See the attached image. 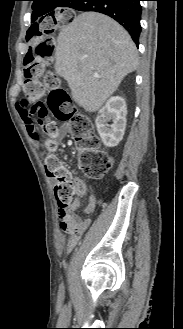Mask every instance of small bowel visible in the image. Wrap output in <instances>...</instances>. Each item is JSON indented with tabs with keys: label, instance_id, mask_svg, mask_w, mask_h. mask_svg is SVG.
Masks as SVG:
<instances>
[{
	"label": "small bowel",
	"instance_id": "obj_1",
	"mask_svg": "<svg viewBox=\"0 0 183 329\" xmlns=\"http://www.w3.org/2000/svg\"><path fill=\"white\" fill-rule=\"evenodd\" d=\"M19 115H20V118L23 121V123H24V125L26 127V130H27L29 136L31 137L33 143L35 145H38L39 144V136H38V134L36 133V131L34 129V121H33L32 115L31 114H19ZM66 131H67V125L66 124H63L61 126V128L59 130V133H58V136H57V142L59 144L62 143L63 138H64V136L66 134ZM72 177L75 179L76 184L78 186L79 195L80 196L84 195L85 192H86V185H85V183L81 179H79L77 177H74V176H72ZM96 204H97V196L96 195H92L90 197V200H89L88 205L85 208V213L87 215L93 213L94 210H95ZM59 218L61 220V227H62V225L64 223L75 224V225H78L79 226L80 233L82 231H84L89 226V224H90V219L89 218H85L83 220L82 219H79L78 216L75 214L74 209L71 210L68 213H63V212H60L59 211ZM77 236H74V238H72L68 242L67 246L65 247V251L66 252L70 251V249L73 247Z\"/></svg>",
	"mask_w": 183,
	"mask_h": 329
}]
</instances>
